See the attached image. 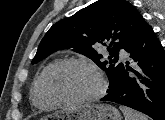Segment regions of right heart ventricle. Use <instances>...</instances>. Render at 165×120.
Returning <instances> with one entry per match:
<instances>
[{"label": "right heart ventricle", "mask_w": 165, "mask_h": 120, "mask_svg": "<svg viewBox=\"0 0 165 120\" xmlns=\"http://www.w3.org/2000/svg\"><path fill=\"white\" fill-rule=\"evenodd\" d=\"M52 65L53 63L47 64L33 84L32 101L40 108L46 109L56 105V102L48 95L44 84L45 76Z\"/></svg>", "instance_id": "e07e8e85"}]
</instances>
